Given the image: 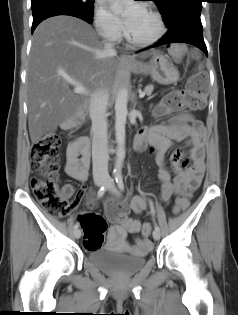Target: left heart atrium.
<instances>
[{"label":"left heart atrium","mask_w":238,"mask_h":315,"mask_svg":"<svg viewBox=\"0 0 238 315\" xmlns=\"http://www.w3.org/2000/svg\"><path fill=\"white\" fill-rule=\"evenodd\" d=\"M111 9L121 16V20L127 29L130 28L136 16L141 12L140 4L131 0H108Z\"/></svg>","instance_id":"left-heart-atrium-1"}]
</instances>
